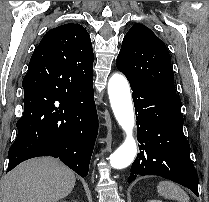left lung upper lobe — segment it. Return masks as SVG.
Returning a JSON list of instances; mask_svg holds the SVG:
<instances>
[{
  "instance_id": "5c2ea615",
  "label": "left lung upper lobe",
  "mask_w": 209,
  "mask_h": 202,
  "mask_svg": "<svg viewBox=\"0 0 209 202\" xmlns=\"http://www.w3.org/2000/svg\"><path fill=\"white\" fill-rule=\"evenodd\" d=\"M116 66L128 80L176 94L171 58L165 44L140 23L133 25L124 36Z\"/></svg>"
}]
</instances>
